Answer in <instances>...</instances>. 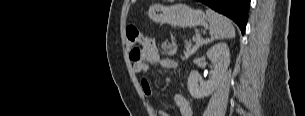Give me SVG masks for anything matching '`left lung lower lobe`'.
Returning <instances> with one entry per match:
<instances>
[{
  "label": "left lung lower lobe",
  "mask_w": 305,
  "mask_h": 116,
  "mask_svg": "<svg viewBox=\"0 0 305 116\" xmlns=\"http://www.w3.org/2000/svg\"><path fill=\"white\" fill-rule=\"evenodd\" d=\"M215 11L231 18L245 32L250 0H198Z\"/></svg>",
  "instance_id": "1"
}]
</instances>
